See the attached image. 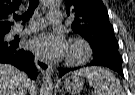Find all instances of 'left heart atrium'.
Wrapping results in <instances>:
<instances>
[{"label": "left heart atrium", "mask_w": 135, "mask_h": 95, "mask_svg": "<svg viewBox=\"0 0 135 95\" xmlns=\"http://www.w3.org/2000/svg\"><path fill=\"white\" fill-rule=\"evenodd\" d=\"M28 48L45 58H61L67 54V42L59 33H42L28 42Z\"/></svg>", "instance_id": "left-heart-atrium-1"}]
</instances>
